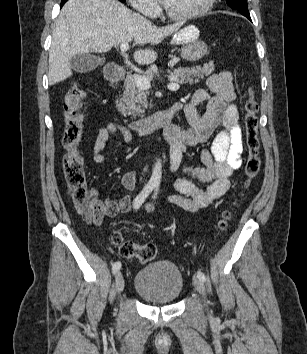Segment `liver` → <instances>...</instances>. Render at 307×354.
<instances>
[{
    "label": "liver",
    "instance_id": "6515ba94",
    "mask_svg": "<svg viewBox=\"0 0 307 354\" xmlns=\"http://www.w3.org/2000/svg\"><path fill=\"white\" fill-rule=\"evenodd\" d=\"M182 23L156 27L146 18L128 9L118 0H69L61 9L49 51V84L72 76L70 61L78 54L104 53L113 46L159 44L178 31ZM157 52L138 49L134 59L139 64L153 63Z\"/></svg>",
    "mask_w": 307,
    "mask_h": 354
}]
</instances>
